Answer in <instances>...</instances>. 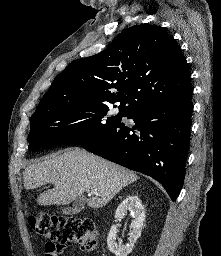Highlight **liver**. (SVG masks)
<instances>
[{
	"mask_svg": "<svg viewBox=\"0 0 221 256\" xmlns=\"http://www.w3.org/2000/svg\"><path fill=\"white\" fill-rule=\"evenodd\" d=\"M137 179L133 171L79 148L44 158L23 173L26 190L54 185L38 196L37 203L42 206L66 205L84 192L96 190L98 194L88 199L87 205L101 208Z\"/></svg>",
	"mask_w": 221,
	"mask_h": 256,
	"instance_id": "obj_1",
	"label": "liver"
}]
</instances>
